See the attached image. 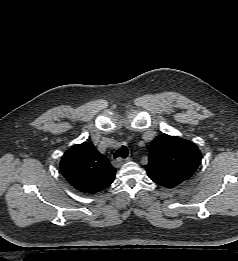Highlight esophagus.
I'll return each instance as SVG.
<instances>
[{
	"mask_svg": "<svg viewBox=\"0 0 238 261\" xmlns=\"http://www.w3.org/2000/svg\"><path fill=\"white\" fill-rule=\"evenodd\" d=\"M129 158L123 159V158H117L116 160L113 161V166L116 168H119L125 161H128Z\"/></svg>",
	"mask_w": 238,
	"mask_h": 261,
	"instance_id": "34e87169",
	"label": "esophagus"
}]
</instances>
